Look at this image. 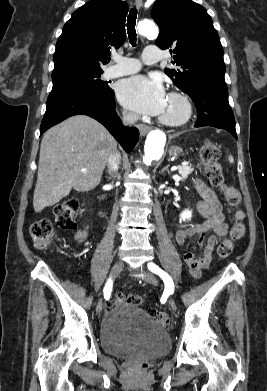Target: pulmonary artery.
<instances>
[{"label": "pulmonary artery", "instance_id": "e3ab8cb5", "mask_svg": "<svg viewBox=\"0 0 267 391\" xmlns=\"http://www.w3.org/2000/svg\"><path fill=\"white\" fill-rule=\"evenodd\" d=\"M162 59V53L156 46H147L143 53V61L146 64H154ZM115 65L106 71L107 78H116L133 74L140 70L141 63L135 58L116 55L113 57Z\"/></svg>", "mask_w": 267, "mask_h": 391}]
</instances>
